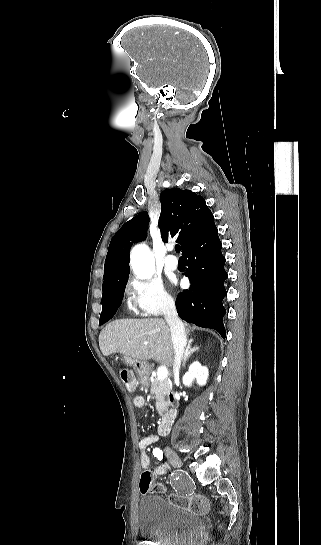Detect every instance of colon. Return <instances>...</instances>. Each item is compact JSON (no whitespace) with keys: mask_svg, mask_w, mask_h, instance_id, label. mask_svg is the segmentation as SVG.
<instances>
[{"mask_svg":"<svg viewBox=\"0 0 321 545\" xmlns=\"http://www.w3.org/2000/svg\"><path fill=\"white\" fill-rule=\"evenodd\" d=\"M118 375L125 387L132 391L135 388V378L133 373L125 366L118 368ZM139 488L142 493L162 492L163 487L154 483L152 473L149 470H144L140 477ZM169 500L174 504L195 511L200 514L208 512V502L201 495H169Z\"/></svg>","mask_w":321,"mask_h":545,"instance_id":"5ec220e1","label":"colon"}]
</instances>
